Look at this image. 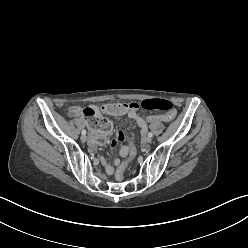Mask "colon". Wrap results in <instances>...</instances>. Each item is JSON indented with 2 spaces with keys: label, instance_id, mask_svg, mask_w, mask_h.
I'll use <instances>...</instances> for the list:
<instances>
[{
  "label": "colon",
  "instance_id": "colon-1",
  "mask_svg": "<svg viewBox=\"0 0 248 248\" xmlns=\"http://www.w3.org/2000/svg\"><path fill=\"white\" fill-rule=\"evenodd\" d=\"M141 108L145 110H161L165 111L166 114L150 115L149 113L143 114V119L148 120L150 125H157L158 122H170L176 113L173 103L167 99H147L141 102ZM138 108V104H110L108 106V111L115 116L122 115L129 108ZM83 115L89 118V124L92 127L91 133L93 139L99 145H104L107 142V136L111 131L110 122L105 118H97L95 116L94 110L89 107L83 109ZM128 158L123 162L118 164L116 170V179L123 180L125 170L129 163L136 155V149L134 144L131 142L127 147Z\"/></svg>",
  "mask_w": 248,
  "mask_h": 248
}]
</instances>
